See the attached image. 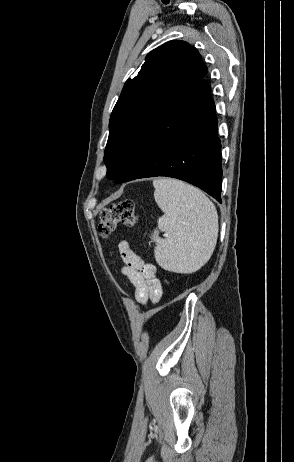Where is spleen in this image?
Here are the masks:
<instances>
[{
	"label": "spleen",
	"mask_w": 294,
	"mask_h": 462,
	"mask_svg": "<svg viewBox=\"0 0 294 462\" xmlns=\"http://www.w3.org/2000/svg\"><path fill=\"white\" fill-rule=\"evenodd\" d=\"M153 186L155 201L164 212L158 229L167 235L161 239L154 231L156 262L176 273L199 270L210 259L217 242L214 204L199 189L175 179H155Z\"/></svg>",
	"instance_id": "obj_1"
}]
</instances>
